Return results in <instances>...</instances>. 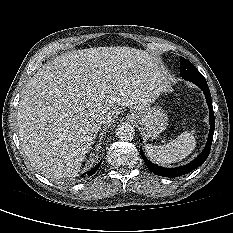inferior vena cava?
I'll use <instances>...</instances> for the list:
<instances>
[{"mask_svg": "<svg viewBox=\"0 0 233 233\" xmlns=\"http://www.w3.org/2000/svg\"><path fill=\"white\" fill-rule=\"evenodd\" d=\"M95 120L98 122V123H103L104 121H105V117L104 116H97L96 118H95Z\"/></svg>", "mask_w": 233, "mask_h": 233, "instance_id": "inferior-vena-cava-1", "label": "inferior vena cava"}]
</instances>
